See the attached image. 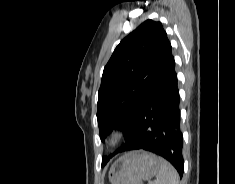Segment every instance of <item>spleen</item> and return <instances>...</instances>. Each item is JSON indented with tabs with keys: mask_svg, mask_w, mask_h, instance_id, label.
Wrapping results in <instances>:
<instances>
[{
	"mask_svg": "<svg viewBox=\"0 0 235 184\" xmlns=\"http://www.w3.org/2000/svg\"><path fill=\"white\" fill-rule=\"evenodd\" d=\"M159 164L157 180L154 184H179V176L175 168L169 162L163 160V158H159Z\"/></svg>",
	"mask_w": 235,
	"mask_h": 184,
	"instance_id": "obj_1",
	"label": "spleen"
}]
</instances>
